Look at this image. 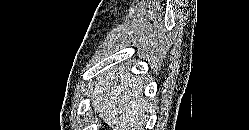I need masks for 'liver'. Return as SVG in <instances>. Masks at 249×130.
Returning <instances> with one entry per match:
<instances>
[{"label": "liver", "instance_id": "liver-1", "mask_svg": "<svg viewBox=\"0 0 249 130\" xmlns=\"http://www.w3.org/2000/svg\"><path fill=\"white\" fill-rule=\"evenodd\" d=\"M143 90L141 78L126 64L114 67L97 78L93 106L113 130H143L145 112L151 109Z\"/></svg>", "mask_w": 249, "mask_h": 130}]
</instances>
